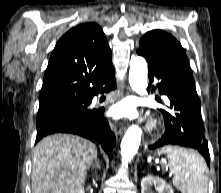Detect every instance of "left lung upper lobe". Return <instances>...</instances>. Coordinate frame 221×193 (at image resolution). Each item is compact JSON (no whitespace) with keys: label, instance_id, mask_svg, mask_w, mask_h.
Segmentation results:
<instances>
[{"label":"left lung upper lobe","instance_id":"obj_1","mask_svg":"<svg viewBox=\"0 0 221 193\" xmlns=\"http://www.w3.org/2000/svg\"><path fill=\"white\" fill-rule=\"evenodd\" d=\"M139 48L160 60L189 66V60L181 44L165 31L152 30L148 32L140 40Z\"/></svg>","mask_w":221,"mask_h":193}]
</instances>
